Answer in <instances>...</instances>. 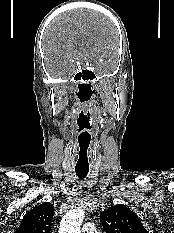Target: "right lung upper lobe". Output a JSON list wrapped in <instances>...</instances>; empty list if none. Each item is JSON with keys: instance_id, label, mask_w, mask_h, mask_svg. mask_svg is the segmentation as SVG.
I'll use <instances>...</instances> for the list:
<instances>
[{"instance_id": "obj_1", "label": "right lung upper lobe", "mask_w": 174, "mask_h": 233, "mask_svg": "<svg viewBox=\"0 0 174 233\" xmlns=\"http://www.w3.org/2000/svg\"><path fill=\"white\" fill-rule=\"evenodd\" d=\"M53 211L49 202L38 205L26 213L14 233H50Z\"/></svg>"}]
</instances>
